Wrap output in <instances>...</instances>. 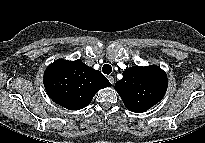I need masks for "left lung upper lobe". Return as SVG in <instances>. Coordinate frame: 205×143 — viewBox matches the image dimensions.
Listing matches in <instances>:
<instances>
[{
    "instance_id": "left-lung-upper-lobe-1",
    "label": "left lung upper lobe",
    "mask_w": 205,
    "mask_h": 143,
    "mask_svg": "<svg viewBox=\"0 0 205 143\" xmlns=\"http://www.w3.org/2000/svg\"><path fill=\"white\" fill-rule=\"evenodd\" d=\"M166 73L158 66H135L123 72L115 90L132 112L142 113L158 103L167 89Z\"/></svg>"
}]
</instances>
